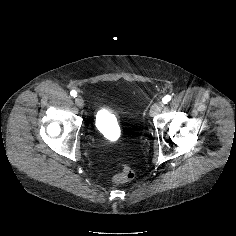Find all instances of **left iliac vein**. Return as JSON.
<instances>
[{"label":"left iliac vein","mask_w":236,"mask_h":236,"mask_svg":"<svg viewBox=\"0 0 236 236\" xmlns=\"http://www.w3.org/2000/svg\"><path fill=\"white\" fill-rule=\"evenodd\" d=\"M163 107H164V105L162 102H158V103H155L154 105H152V107L150 109V116L153 117V116L159 114Z\"/></svg>","instance_id":"obj_1"}]
</instances>
